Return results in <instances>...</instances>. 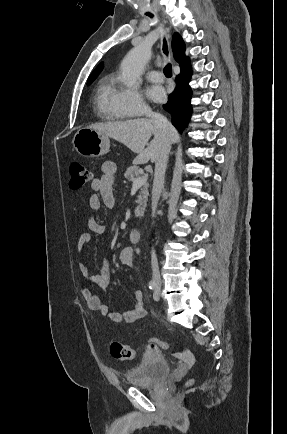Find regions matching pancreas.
I'll return each instance as SVG.
<instances>
[{"label":"pancreas","instance_id":"pancreas-1","mask_svg":"<svg viewBox=\"0 0 287 434\" xmlns=\"http://www.w3.org/2000/svg\"><path fill=\"white\" fill-rule=\"evenodd\" d=\"M124 176L126 179L133 182L134 180H136L140 176L139 168L137 166L129 167L126 170ZM148 195H149L148 184H144V186L141 188L140 194H139L138 199H137L139 206L135 209V216L136 217L143 216L144 208H145V206L147 204V200H148Z\"/></svg>","mask_w":287,"mask_h":434}]
</instances>
